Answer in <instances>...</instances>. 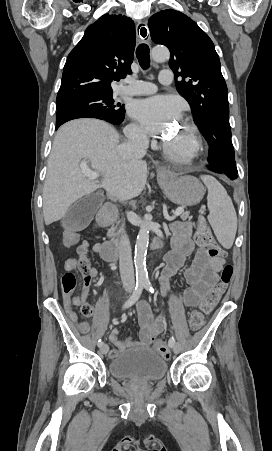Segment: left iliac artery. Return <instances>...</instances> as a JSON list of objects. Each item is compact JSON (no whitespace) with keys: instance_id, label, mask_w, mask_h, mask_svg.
I'll use <instances>...</instances> for the list:
<instances>
[{"instance_id":"1","label":"left iliac artery","mask_w":272,"mask_h":451,"mask_svg":"<svg viewBox=\"0 0 272 451\" xmlns=\"http://www.w3.org/2000/svg\"><path fill=\"white\" fill-rule=\"evenodd\" d=\"M144 283H145V289L148 292L154 293V288H153L151 282L149 280H146V281H144ZM174 344H175V339H174V337H171L169 339L168 345H169V347H173Z\"/></svg>"}]
</instances>
